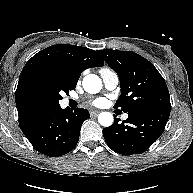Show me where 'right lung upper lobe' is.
<instances>
[{"instance_id": "1", "label": "right lung upper lobe", "mask_w": 193, "mask_h": 193, "mask_svg": "<svg viewBox=\"0 0 193 193\" xmlns=\"http://www.w3.org/2000/svg\"><path fill=\"white\" fill-rule=\"evenodd\" d=\"M104 61L89 48L59 44L35 54L25 64L16 89L15 100L18 121L23 130L44 114L60 107L59 103L38 98L32 91L35 80L45 75H55L76 87L81 73L91 67H101Z\"/></svg>"}]
</instances>
